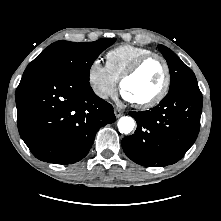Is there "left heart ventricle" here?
I'll list each match as a JSON object with an SVG mask.
<instances>
[{
    "label": "left heart ventricle",
    "mask_w": 221,
    "mask_h": 221,
    "mask_svg": "<svg viewBox=\"0 0 221 221\" xmlns=\"http://www.w3.org/2000/svg\"><path fill=\"white\" fill-rule=\"evenodd\" d=\"M164 78L162 63L158 59H151L133 77L125 81L123 90L133 102L146 101L158 93Z\"/></svg>",
    "instance_id": "obj_1"
}]
</instances>
